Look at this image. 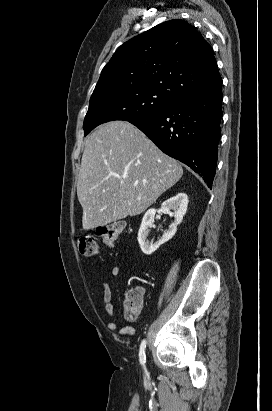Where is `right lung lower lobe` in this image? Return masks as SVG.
<instances>
[{
    "instance_id": "98d812e1",
    "label": "right lung lower lobe",
    "mask_w": 272,
    "mask_h": 411,
    "mask_svg": "<svg viewBox=\"0 0 272 411\" xmlns=\"http://www.w3.org/2000/svg\"><path fill=\"white\" fill-rule=\"evenodd\" d=\"M222 81L214 88L177 99L166 109L131 121L160 150L183 162L212 188L222 118Z\"/></svg>"
}]
</instances>
